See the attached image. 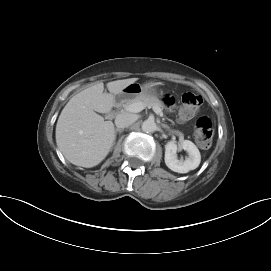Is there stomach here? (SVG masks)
I'll list each match as a JSON object with an SVG mask.
<instances>
[{
  "label": "stomach",
  "instance_id": "0dacf381",
  "mask_svg": "<svg viewBox=\"0 0 271 271\" xmlns=\"http://www.w3.org/2000/svg\"><path fill=\"white\" fill-rule=\"evenodd\" d=\"M157 85L158 83L155 81H147L144 84L132 83L126 86L117 97L123 100L135 98L142 94L155 97L157 96Z\"/></svg>",
  "mask_w": 271,
  "mask_h": 271
}]
</instances>
